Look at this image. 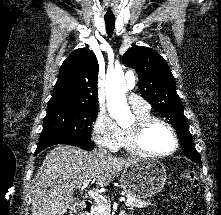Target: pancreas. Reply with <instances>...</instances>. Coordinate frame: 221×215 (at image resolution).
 Wrapping results in <instances>:
<instances>
[{
  "instance_id": "obj_1",
  "label": "pancreas",
  "mask_w": 221,
  "mask_h": 215,
  "mask_svg": "<svg viewBox=\"0 0 221 215\" xmlns=\"http://www.w3.org/2000/svg\"><path fill=\"white\" fill-rule=\"evenodd\" d=\"M122 194H126V192H122ZM127 197H129V201L125 203V205L130 208H145L147 206L151 205L150 201H144L137 199L135 197H132L127 194ZM94 215H110V204L105 201H101L97 203V206L95 207Z\"/></svg>"
}]
</instances>
